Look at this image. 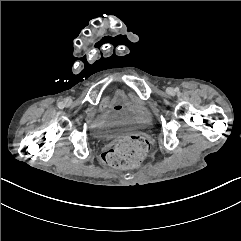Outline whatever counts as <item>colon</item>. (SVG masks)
I'll use <instances>...</instances> for the list:
<instances>
[{
  "mask_svg": "<svg viewBox=\"0 0 241 241\" xmlns=\"http://www.w3.org/2000/svg\"><path fill=\"white\" fill-rule=\"evenodd\" d=\"M150 150L146 138L133 134L119 140L113 148L104 149L100 161L114 168L134 167L149 155Z\"/></svg>",
  "mask_w": 241,
  "mask_h": 241,
  "instance_id": "5ec220e1",
  "label": "colon"
}]
</instances>
